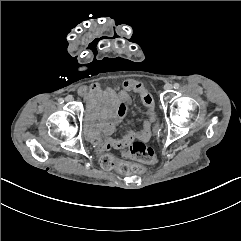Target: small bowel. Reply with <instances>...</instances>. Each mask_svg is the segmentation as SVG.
<instances>
[{"instance_id": "small-bowel-1", "label": "small bowel", "mask_w": 241, "mask_h": 241, "mask_svg": "<svg viewBox=\"0 0 241 241\" xmlns=\"http://www.w3.org/2000/svg\"><path fill=\"white\" fill-rule=\"evenodd\" d=\"M130 91L138 92L146 109V118L139 131L128 130L120 138H113L116 126L128 119L131 102ZM79 93L85 97L91 125L88 138L99 152L109 149L127 151L134 142H147L151 137V126L157 119L154 99L148 90L133 80L124 83L123 89L116 92L112 88L102 90L97 84L81 88Z\"/></svg>"}]
</instances>
